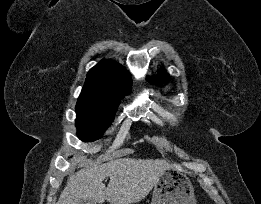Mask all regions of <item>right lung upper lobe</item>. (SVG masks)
<instances>
[{
    "mask_svg": "<svg viewBox=\"0 0 261 204\" xmlns=\"http://www.w3.org/2000/svg\"><path fill=\"white\" fill-rule=\"evenodd\" d=\"M130 90L131 77L128 71L112 60H102L89 70L78 102L118 106Z\"/></svg>",
    "mask_w": 261,
    "mask_h": 204,
    "instance_id": "obj_1",
    "label": "right lung upper lobe"
}]
</instances>
